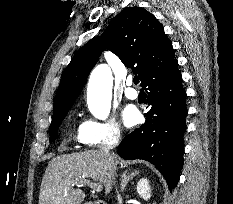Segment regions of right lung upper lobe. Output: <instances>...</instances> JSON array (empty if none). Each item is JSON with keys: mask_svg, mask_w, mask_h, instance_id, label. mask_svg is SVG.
I'll return each mask as SVG.
<instances>
[{"mask_svg": "<svg viewBox=\"0 0 233 204\" xmlns=\"http://www.w3.org/2000/svg\"><path fill=\"white\" fill-rule=\"evenodd\" d=\"M106 49L139 75L142 86L158 72L177 63L172 44L155 16L141 7L125 8L100 37L80 48L65 68L55 96L52 119L69 111L89 72Z\"/></svg>", "mask_w": 233, "mask_h": 204, "instance_id": "obj_1", "label": "right lung upper lobe"}]
</instances>
